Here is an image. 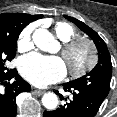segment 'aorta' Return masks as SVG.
I'll return each instance as SVG.
<instances>
[{"instance_id":"obj_1","label":"aorta","mask_w":117,"mask_h":117,"mask_svg":"<svg viewBox=\"0 0 117 117\" xmlns=\"http://www.w3.org/2000/svg\"><path fill=\"white\" fill-rule=\"evenodd\" d=\"M33 41L35 45L47 52L53 51L57 46V41L54 39L53 35L46 29L39 28L33 33ZM42 104L45 108L53 110L58 105V97L56 94L49 92L43 95Z\"/></svg>"}]
</instances>
